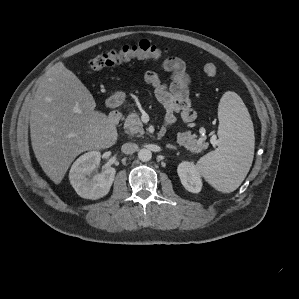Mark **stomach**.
I'll return each instance as SVG.
<instances>
[{
	"label": "stomach",
	"instance_id": "0dacf381",
	"mask_svg": "<svg viewBox=\"0 0 299 299\" xmlns=\"http://www.w3.org/2000/svg\"><path fill=\"white\" fill-rule=\"evenodd\" d=\"M125 99V94L122 92L116 93L115 95L112 96V98L110 99V102L112 104V106H119L123 103Z\"/></svg>",
	"mask_w": 299,
	"mask_h": 299
}]
</instances>
